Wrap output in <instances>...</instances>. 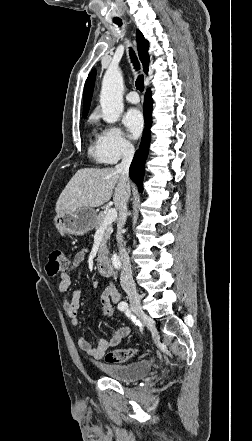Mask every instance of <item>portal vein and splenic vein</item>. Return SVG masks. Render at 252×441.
<instances>
[{
    "instance_id": "18ae733b",
    "label": "portal vein and splenic vein",
    "mask_w": 252,
    "mask_h": 441,
    "mask_svg": "<svg viewBox=\"0 0 252 441\" xmlns=\"http://www.w3.org/2000/svg\"><path fill=\"white\" fill-rule=\"evenodd\" d=\"M116 219H117L116 209H109L107 214L105 215L102 226H107L108 224H112Z\"/></svg>"
}]
</instances>
